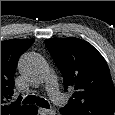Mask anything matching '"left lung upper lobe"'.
Instances as JSON below:
<instances>
[{
    "instance_id": "left-lung-upper-lobe-1",
    "label": "left lung upper lobe",
    "mask_w": 115,
    "mask_h": 115,
    "mask_svg": "<svg viewBox=\"0 0 115 115\" xmlns=\"http://www.w3.org/2000/svg\"><path fill=\"white\" fill-rule=\"evenodd\" d=\"M45 44L63 75L64 90L74 93L63 115H113L115 87L103 56L88 42L50 38Z\"/></svg>"
}]
</instances>
